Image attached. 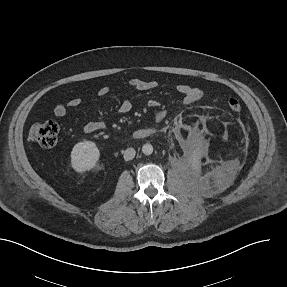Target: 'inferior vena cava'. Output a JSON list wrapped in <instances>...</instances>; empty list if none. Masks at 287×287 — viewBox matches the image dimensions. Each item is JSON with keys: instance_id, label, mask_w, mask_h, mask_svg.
I'll return each mask as SVG.
<instances>
[{"instance_id": "602c4592", "label": "inferior vena cava", "mask_w": 287, "mask_h": 287, "mask_svg": "<svg viewBox=\"0 0 287 287\" xmlns=\"http://www.w3.org/2000/svg\"><path fill=\"white\" fill-rule=\"evenodd\" d=\"M136 151L134 148H127L124 151V159L125 161L132 160L135 157Z\"/></svg>"}]
</instances>
